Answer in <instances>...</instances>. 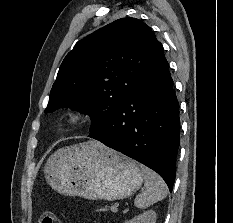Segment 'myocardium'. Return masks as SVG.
Listing matches in <instances>:
<instances>
[{
    "label": "myocardium",
    "instance_id": "1",
    "mask_svg": "<svg viewBox=\"0 0 233 223\" xmlns=\"http://www.w3.org/2000/svg\"><path fill=\"white\" fill-rule=\"evenodd\" d=\"M72 121L71 123H69ZM94 121L93 114L82 107L65 109L57 120V128L63 133H72L87 128Z\"/></svg>",
    "mask_w": 233,
    "mask_h": 223
}]
</instances>
